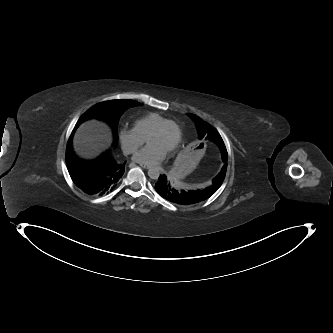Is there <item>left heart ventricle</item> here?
Wrapping results in <instances>:
<instances>
[{"mask_svg": "<svg viewBox=\"0 0 333 333\" xmlns=\"http://www.w3.org/2000/svg\"><path fill=\"white\" fill-rule=\"evenodd\" d=\"M177 138V131L174 127H168L163 133L153 135L149 138V144H155L160 148L167 150L172 146Z\"/></svg>", "mask_w": 333, "mask_h": 333, "instance_id": "left-heart-ventricle-1", "label": "left heart ventricle"}]
</instances>
